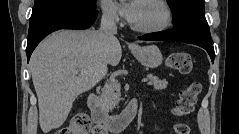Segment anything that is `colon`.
Here are the masks:
<instances>
[{
	"mask_svg": "<svg viewBox=\"0 0 239 134\" xmlns=\"http://www.w3.org/2000/svg\"><path fill=\"white\" fill-rule=\"evenodd\" d=\"M167 66L183 74H188L193 69L191 57L184 52H177L169 55L167 58ZM201 92L199 83H191L179 95L173 107V115L176 117H185L190 115L198 96ZM176 134H189L190 128L187 124L177 123L173 127ZM56 134H105L102 127L95 125L89 116L84 112L76 113L68 126L58 130Z\"/></svg>",
	"mask_w": 239,
	"mask_h": 134,
	"instance_id": "1",
	"label": "colon"
}]
</instances>
